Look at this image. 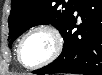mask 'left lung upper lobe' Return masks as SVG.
Returning <instances> with one entry per match:
<instances>
[{"label":"left lung upper lobe","mask_w":102,"mask_h":75,"mask_svg":"<svg viewBox=\"0 0 102 75\" xmlns=\"http://www.w3.org/2000/svg\"><path fill=\"white\" fill-rule=\"evenodd\" d=\"M80 0H12L8 19L9 37L12 42L29 28L52 24L58 30L73 13Z\"/></svg>","instance_id":"left-lung-upper-lobe-1"}]
</instances>
